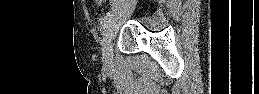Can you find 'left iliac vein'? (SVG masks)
<instances>
[{
    "label": "left iliac vein",
    "instance_id": "left-iliac-vein-1",
    "mask_svg": "<svg viewBox=\"0 0 259 94\" xmlns=\"http://www.w3.org/2000/svg\"><path fill=\"white\" fill-rule=\"evenodd\" d=\"M117 18L111 17L107 22V30L102 41V56L106 65L112 61V38L116 26Z\"/></svg>",
    "mask_w": 259,
    "mask_h": 94
}]
</instances>
